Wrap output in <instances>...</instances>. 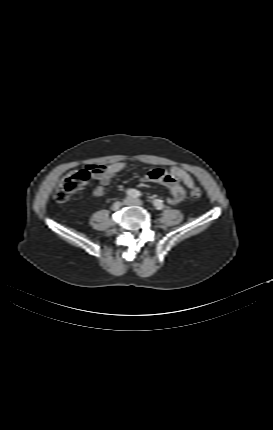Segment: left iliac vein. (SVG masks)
Segmentation results:
<instances>
[{"mask_svg": "<svg viewBox=\"0 0 273 430\" xmlns=\"http://www.w3.org/2000/svg\"><path fill=\"white\" fill-rule=\"evenodd\" d=\"M124 202H125L126 205L141 206L143 204V202L140 199H133V198H127V199H125Z\"/></svg>", "mask_w": 273, "mask_h": 430, "instance_id": "4c4485c4", "label": "left iliac vein"}]
</instances>
